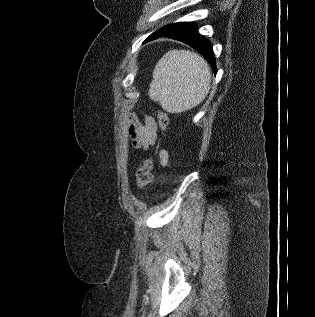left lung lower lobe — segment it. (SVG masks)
<instances>
[{"label":"left lung lower lobe","mask_w":315,"mask_h":317,"mask_svg":"<svg viewBox=\"0 0 315 317\" xmlns=\"http://www.w3.org/2000/svg\"><path fill=\"white\" fill-rule=\"evenodd\" d=\"M168 37L188 44L202 54L210 63L213 72L217 73L215 56L211 43L197 31V27L192 22H179L173 24L167 31L162 34L151 36L148 40H154L159 37Z\"/></svg>","instance_id":"obj_1"}]
</instances>
